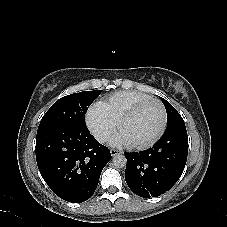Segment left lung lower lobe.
Returning <instances> with one entry per match:
<instances>
[{
	"label": "left lung lower lobe",
	"mask_w": 227,
	"mask_h": 227,
	"mask_svg": "<svg viewBox=\"0 0 227 227\" xmlns=\"http://www.w3.org/2000/svg\"><path fill=\"white\" fill-rule=\"evenodd\" d=\"M187 154L188 136L185 125L169 126L152 148L139 153H125L126 183L140 197H158L178 181Z\"/></svg>",
	"instance_id": "obj_1"
}]
</instances>
